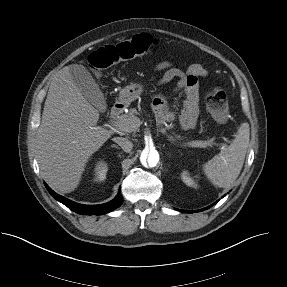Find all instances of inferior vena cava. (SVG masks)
<instances>
[{"label":"inferior vena cava","mask_w":287,"mask_h":287,"mask_svg":"<svg viewBox=\"0 0 287 287\" xmlns=\"http://www.w3.org/2000/svg\"><path fill=\"white\" fill-rule=\"evenodd\" d=\"M113 141L116 142L125 152H130L133 148V143L126 138L115 137Z\"/></svg>","instance_id":"obj_1"}]
</instances>
